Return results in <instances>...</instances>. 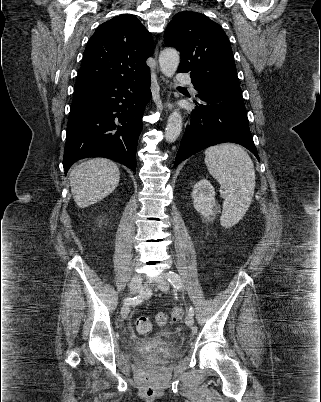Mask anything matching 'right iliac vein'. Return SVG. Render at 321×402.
Listing matches in <instances>:
<instances>
[{
  "mask_svg": "<svg viewBox=\"0 0 321 402\" xmlns=\"http://www.w3.org/2000/svg\"><path fill=\"white\" fill-rule=\"evenodd\" d=\"M142 283V276L140 274H135L130 282V294L135 295L141 286ZM130 311V304L129 303H124L122 308H121V316L122 318H127L128 314Z\"/></svg>",
  "mask_w": 321,
  "mask_h": 402,
  "instance_id": "obj_1",
  "label": "right iliac vein"
}]
</instances>
